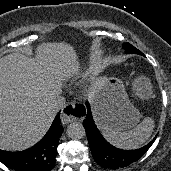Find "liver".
Masks as SVG:
<instances>
[{"label":"liver","instance_id":"1","mask_svg":"<svg viewBox=\"0 0 171 171\" xmlns=\"http://www.w3.org/2000/svg\"><path fill=\"white\" fill-rule=\"evenodd\" d=\"M36 58L12 53L0 59V149L22 150L38 142L49 129L57 110L60 82L78 71L75 50L64 43L38 46ZM93 88L92 102L96 121L101 103Z\"/></svg>","mask_w":171,"mask_h":171}]
</instances>
